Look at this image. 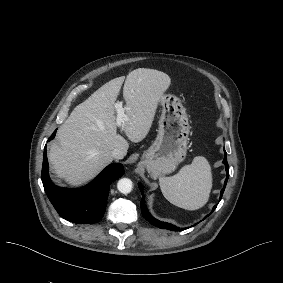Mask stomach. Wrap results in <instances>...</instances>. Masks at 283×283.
<instances>
[{
	"mask_svg": "<svg viewBox=\"0 0 283 283\" xmlns=\"http://www.w3.org/2000/svg\"><path fill=\"white\" fill-rule=\"evenodd\" d=\"M162 113L158 135L154 143L142 155L141 166L152 178L171 173L187 153L190 132L188 116L180 98L163 93L160 98Z\"/></svg>",
	"mask_w": 283,
	"mask_h": 283,
	"instance_id": "0dacf381",
	"label": "stomach"
}]
</instances>
